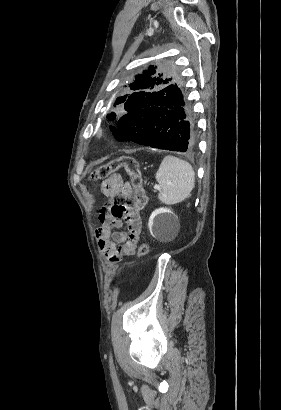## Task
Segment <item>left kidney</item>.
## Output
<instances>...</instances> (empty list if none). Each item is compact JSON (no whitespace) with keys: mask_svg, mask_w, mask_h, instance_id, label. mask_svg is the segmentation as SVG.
<instances>
[{"mask_svg":"<svg viewBox=\"0 0 281 410\" xmlns=\"http://www.w3.org/2000/svg\"><path fill=\"white\" fill-rule=\"evenodd\" d=\"M169 214H173V212L169 208L164 207L158 208L152 212L148 222L149 230L152 236H154L152 232V227L154 225L169 226L174 224L175 219Z\"/></svg>","mask_w":281,"mask_h":410,"instance_id":"obj_1","label":"left kidney"}]
</instances>
